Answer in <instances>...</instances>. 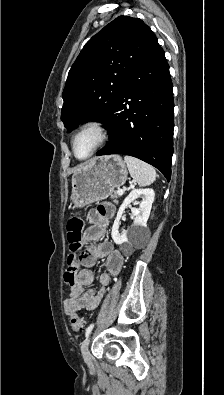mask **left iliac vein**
<instances>
[{"label": "left iliac vein", "mask_w": 224, "mask_h": 395, "mask_svg": "<svg viewBox=\"0 0 224 395\" xmlns=\"http://www.w3.org/2000/svg\"><path fill=\"white\" fill-rule=\"evenodd\" d=\"M89 343H90V337H87V338L83 341V343H82V345H81L82 357H83V360H84L87 364H90V362H91V356H90V353H89Z\"/></svg>", "instance_id": "4c4485c4"}]
</instances>
